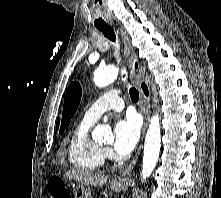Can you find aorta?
Masks as SVG:
<instances>
[{
  "label": "aorta",
  "instance_id": "obj_1",
  "mask_svg": "<svg viewBox=\"0 0 221 198\" xmlns=\"http://www.w3.org/2000/svg\"><path fill=\"white\" fill-rule=\"evenodd\" d=\"M118 68L115 66H108L105 68L97 69L94 72V83L98 87H106L112 83L118 76ZM94 138L108 139L112 136L109 129L102 125H97L92 133ZM161 147V128L160 118L158 114L152 116L150 125L146 133L143 163L141 170V178L143 181L151 175L159 158Z\"/></svg>",
  "mask_w": 221,
  "mask_h": 198
}]
</instances>
